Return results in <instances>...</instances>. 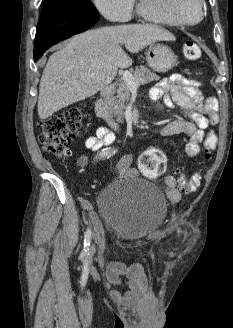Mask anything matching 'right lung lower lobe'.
<instances>
[{"label":"right lung lower lobe","instance_id":"1","mask_svg":"<svg viewBox=\"0 0 233 328\" xmlns=\"http://www.w3.org/2000/svg\"><path fill=\"white\" fill-rule=\"evenodd\" d=\"M99 19L97 10L64 6H43L34 41L37 61L52 45L81 33Z\"/></svg>","mask_w":233,"mask_h":328}]
</instances>
